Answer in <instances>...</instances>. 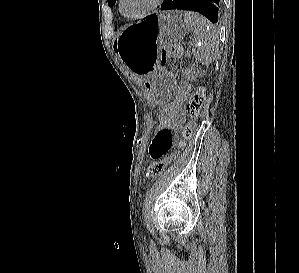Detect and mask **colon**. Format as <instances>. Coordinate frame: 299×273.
<instances>
[{
    "label": "colon",
    "mask_w": 299,
    "mask_h": 273,
    "mask_svg": "<svg viewBox=\"0 0 299 273\" xmlns=\"http://www.w3.org/2000/svg\"><path fill=\"white\" fill-rule=\"evenodd\" d=\"M180 51V46L177 44L164 45L162 47L161 63L165 64L169 58L178 56ZM187 95V85L181 83L174 97L164 105L158 115L159 127L169 126L182 113L183 105L186 101V111L191 120L183 127V139L179 141V148H181L185 140L190 139L194 133L196 121L205 102L206 91L203 87H199L189 97H187ZM177 156L178 151H174L167 157L152 162L146 170V177L148 179H155L160 176Z\"/></svg>",
    "instance_id": "5ec220e1"
}]
</instances>
